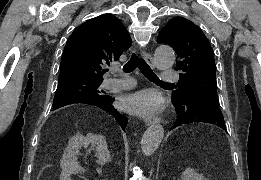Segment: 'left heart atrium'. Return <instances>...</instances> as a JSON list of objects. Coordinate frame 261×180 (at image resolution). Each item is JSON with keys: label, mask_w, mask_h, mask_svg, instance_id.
Masks as SVG:
<instances>
[{"label": "left heart atrium", "mask_w": 261, "mask_h": 180, "mask_svg": "<svg viewBox=\"0 0 261 180\" xmlns=\"http://www.w3.org/2000/svg\"><path fill=\"white\" fill-rule=\"evenodd\" d=\"M122 105L133 114L146 116L160 112L163 109V99L154 90H143L124 96Z\"/></svg>", "instance_id": "39dd6f15"}]
</instances>
